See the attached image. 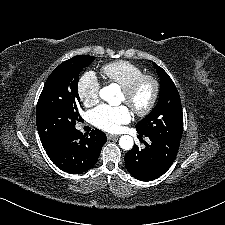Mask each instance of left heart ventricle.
Segmentation results:
<instances>
[{"instance_id": "left-heart-ventricle-1", "label": "left heart ventricle", "mask_w": 225, "mask_h": 225, "mask_svg": "<svg viewBox=\"0 0 225 225\" xmlns=\"http://www.w3.org/2000/svg\"><path fill=\"white\" fill-rule=\"evenodd\" d=\"M151 93H152L151 84L145 82L138 88L135 94L130 98H126V96L122 92L121 102L128 105L131 109L142 108L148 103Z\"/></svg>"}]
</instances>
